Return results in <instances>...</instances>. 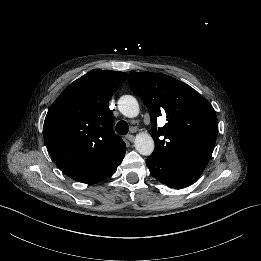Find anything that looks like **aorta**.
Segmentation results:
<instances>
[{"mask_svg":"<svg viewBox=\"0 0 261 261\" xmlns=\"http://www.w3.org/2000/svg\"><path fill=\"white\" fill-rule=\"evenodd\" d=\"M118 105L121 113L128 117L138 114L139 105L135 97L131 95H123L118 99ZM154 141L147 134H141L135 139V148L137 152L143 156H149L154 151Z\"/></svg>","mask_w":261,"mask_h":261,"instance_id":"obj_1","label":"aorta"}]
</instances>
